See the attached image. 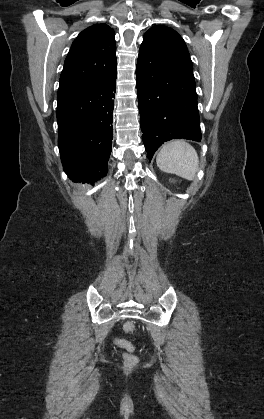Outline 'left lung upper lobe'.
<instances>
[{"mask_svg": "<svg viewBox=\"0 0 264 419\" xmlns=\"http://www.w3.org/2000/svg\"><path fill=\"white\" fill-rule=\"evenodd\" d=\"M157 37L166 38L171 42L175 52L184 59L186 70L190 74H193L192 62L189 56V52L181 36L173 29L168 28L166 26H161V25L152 27L144 35V39L157 38Z\"/></svg>", "mask_w": 264, "mask_h": 419, "instance_id": "left-lung-upper-lobe-1", "label": "left lung upper lobe"}]
</instances>
